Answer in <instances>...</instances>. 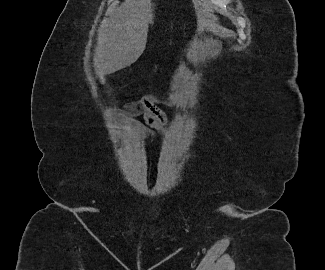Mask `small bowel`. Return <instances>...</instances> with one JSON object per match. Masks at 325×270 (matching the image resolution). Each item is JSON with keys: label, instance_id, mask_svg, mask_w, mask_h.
<instances>
[{"label": "small bowel", "instance_id": "1", "mask_svg": "<svg viewBox=\"0 0 325 270\" xmlns=\"http://www.w3.org/2000/svg\"><path fill=\"white\" fill-rule=\"evenodd\" d=\"M178 102L177 98L171 96L144 99L135 106V112L144 116L150 128L145 127L141 123H137L136 126L145 137L150 139L156 138L159 134L164 133L169 126L167 117L156 107V103L175 106Z\"/></svg>", "mask_w": 325, "mask_h": 270}]
</instances>
